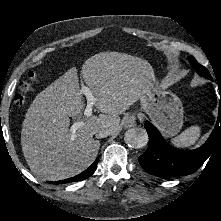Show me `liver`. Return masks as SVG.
<instances>
[{"mask_svg":"<svg viewBox=\"0 0 221 221\" xmlns=\"http://www.w3.org/2000/svg\"><path fill=\"white\" fill-rule=\"evenodd\" d=\"M83 81L97 98L99 116L86 118L75 133L70 119L81 118L84 98L76 68L41 91L30 105L21 131V146L32 173L48 181L73 176L96 158L98 128L117 132L120 114L139 100L154 79L152 66L138 57L120 52H101L87 59L81 69Z\"/></svg>","mask_w":221,"mask_h":221,"instance_id":"6515ba94","label":"liver"}]
</instances>
